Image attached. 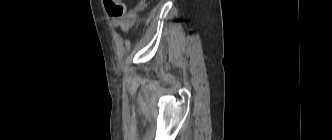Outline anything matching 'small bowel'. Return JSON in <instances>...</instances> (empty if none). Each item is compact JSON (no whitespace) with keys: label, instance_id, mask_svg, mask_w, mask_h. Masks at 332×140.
<instances>
[{"label":"small bowel","instance_id":"obj_1","mask_svg":"<svg viewBox=\"0 0 332 140\" xmlns=\"http://www.w3.org/2000/svg\"><path fill=\"white\" fill-rule=\"evenodd\" d=\"M137 8L131 10L127 15L121 19H116L113 22V27L119 29L122 32H128L134 25V20L136 18Z\"/></svg>","mask_w":332,"mask_h":140}]
</instances>
